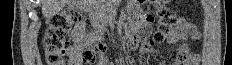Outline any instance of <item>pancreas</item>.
<instances>
[{"mask_svg":"<svg viewBox=\"0 0 232 65\" xmlns=\"http://www.w3.org/2000/svg\"><path fill=\"white\" fill-rule=\"evenodd\" d=\"M106 12H107V13L110 12V9H107V10H104V11H103V13H104L103 17L105 18V22H106V18H107ZM95 26H96L98 29H102L103 26H104V23H97V24H95Z\"/></svg>","mask_w":232,"mask_h":65,"instance_id":"1","label":"pancreas"}]
</instances>
